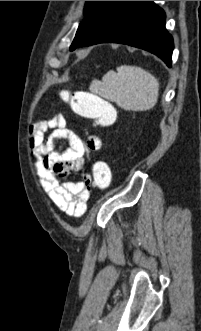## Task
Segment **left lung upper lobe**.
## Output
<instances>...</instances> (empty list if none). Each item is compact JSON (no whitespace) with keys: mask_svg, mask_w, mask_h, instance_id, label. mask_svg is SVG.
<instances>
[{"mask_svg":"<svg viewBox=\"0 0 201 331\" xmlns=\"http://www.w3.org/2000/svg\"><path fill=\"white\" fill-rule=\"evenodd\" d=\"M119 1H86L85 19L80 23L70 50L77 48Z\"/></svg>","mask_w":201,"mask_h":331,"instance_id":"1","label":"left lung upper lobe"}]
</instances>
